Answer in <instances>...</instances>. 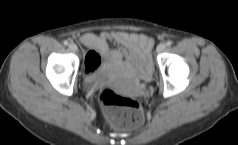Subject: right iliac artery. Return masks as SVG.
Masks as SVG:
<instances>
[{"instance_id":"1","label":"right iliac artery","mask_w":238,"mask_h":145,"mask_svg":"<svg viewBox=\"0 0 238 145\" xmlns=\"http://www.w3.org/2000/svg\"><path fill=\"white\" fill-rule=\"evenodd\" d=\"M63 43H64V45H66V46L69 44V42H68L67 40H65Z\"/></svg>"}]
</instances>
